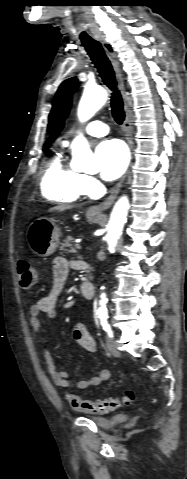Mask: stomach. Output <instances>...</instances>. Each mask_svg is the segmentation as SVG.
Here are the masks:
<instances>
[{
    "label": "stomach",
    "mask_w": 187,
    "mask_h": 479,
    "mask_svg": "<svg viewBox=\"0 0 187 479\" xmlns=\"http://www.w3.org/2000/svg\"><path fill=\"white\" fill-rule=\"evenodd\" d=\"M89 222H96L98 215L87 214ZM60 230L52 218L41 217L35 220L27 232L31 250L41 257L53 254L59 245Z\"/></svg>",
    "instance_id": "0dacf381"
}]
</instances>
